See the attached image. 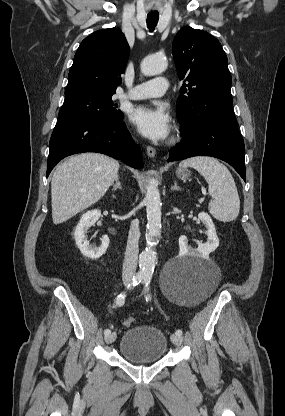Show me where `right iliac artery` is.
I'll return each mask as SVG.
<instances>
[{
	"label": "right iliac artery",
	"mask_w": 285,
	"mask_h": 416,
	"mask_svg": "<svg viewBox=\"0 0 285 416\" xmlns=\"http://www.w3.org/2000/svg\"><path fill=\"white\" fill-rule=\"evenodd\" d=\"M143 274L142 273H137L136 275L133 276L132 281L130 284H128V289L131 287H135L136 285H138L142 280H143ZM125 298H126V293L123 292L121 294H119L116 299H115V303L117 306H123L125 303ZM111 333L110 329H105L104 330V334L105 336L109 335Z\"/></svg>",
	"instance_id": "1"
}]
</instances>
